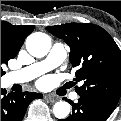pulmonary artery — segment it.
<instances>
[{
	"mask_svg": "<svg viewBox=\"0 0 121 121\" xmlns=\"http://www.w3.org/2000/svg\"><path fill=\"white\" fill-rule=\"evenodd\" d=\"M67 58V47L61 42H56L52 46L49 54L41 61L35 62L21 70L11 72L7 75L8 84L24 83L40 76L58 66ZM72 98L76 99L77 94L73 93Z\"/></svg>",
	"mask_w": 121,
	"mask_h": 121,
	"instance_id": "pulmonary-artery-1",
	"label": "pulmonary artery"
}]
</instances>
